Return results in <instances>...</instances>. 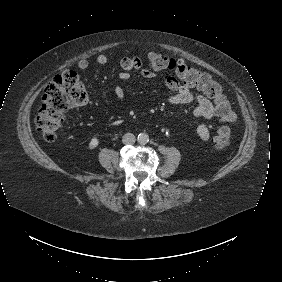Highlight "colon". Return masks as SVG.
I'll return each instance as SVG.
<instances>
[{"label":"colon","mask_w":282,"mask_h":282,"mask_svg":"<svg viewBox=\"0 0 282 282\" xmlns=\"http://www.w3.org/2000/svg\"><path fill=\"white\" fill-rule=\"evenodd\" d=\"M149 66L154 71H170L179 75L188 87H196L207 93L215 102V111L225 122H234L236 113L224 95L220 84L207 73L179 62L161 52L149 55ZM88 103L87 91L79 76L74 72L57 75L44 89L40 113L35 120L36 129L47 141L55 140L64 124L65 112L69 107H83ZM213 144L219 152L230 147L231 131L221 127L213 136Z\"/></svg>","instance_id":"obj_1"}]
</instances>
